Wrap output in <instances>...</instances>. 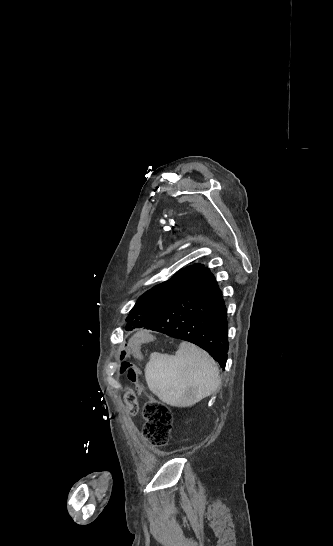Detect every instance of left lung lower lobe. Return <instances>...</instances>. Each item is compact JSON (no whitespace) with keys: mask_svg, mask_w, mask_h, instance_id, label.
<instances>
[{"mask_svg":"<svg viewBox=\"0 0 333 546\" xmlns=\"http://www.w3.org/2000/svg\"><path fill=\"white\" fill-rule=\"evenodd\" d=\"M126 321V330L140 328L132 317ZM144 328L192 342L225 368L228 352L227 309L222 292L208 268L203 267L193 283L160 310Z\"/></svg>","mask_w":333,"mask_h":546,"instance_id":"0a47b994","label":"left lung lower lobe"}]
</instances>
